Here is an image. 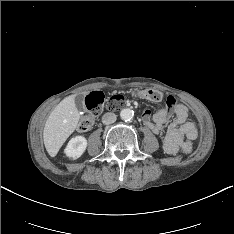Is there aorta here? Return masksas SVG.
I'll list each match as a JSON object with an SVG mask.
<instances>
[{
	"mask_svg": "<svg viewBox=\"0 0 234 234\" xmlns=\"http://www.w3.org/2000/svg\"><path fill=\"white\" fill-rule=\"evenodd\" d=\"M133 116H134V112L129 108L123 109L120 112L121 119L125 121L131 120Z\"/></svg>",
	"mask_w": 234,
	"mask_h": 234,
	"instance_id": "762f6f07",
	"label": "aorta"
}]
</instances>
